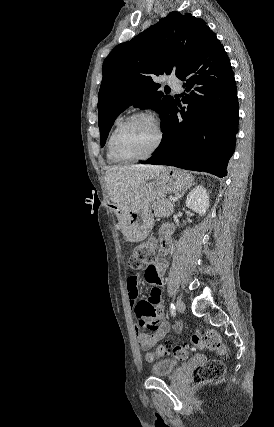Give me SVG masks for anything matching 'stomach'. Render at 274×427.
<instances>
[{"mask_svg":"<svg viewBox=\"0 0 274 427\" xmlns=\"http://www.w3.org/2000/svg\"><path fill=\"white\" fill-rule=\"evenodd\" d=\"M193 184V176L183 170L166 168L155 178L143 180L135 190L131 202L115 204L114 212L119 219V225L128 241H142L147 237L154 225L152 202L159 194H177L185 192Z\"/></svg>","mask_w":274,"mask_h":427,"instance_id":"1","label":"stomach"}]
</instances>
